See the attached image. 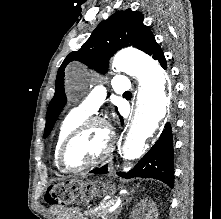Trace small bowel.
I'll list each match as a JSON object with an SVG mask.
<instances>
[{"mask_svg":"<svg viewBox=\"0 0 221 219\" xmlns=\"http://www.w3.org/2000/svg\"><path fill=\"white\" fill-rule=\"evenodd\" d=\"M59 219H88L78 208H58Z\"/></svg>","mask_w":221,"mask_h":219,"instance_id":"small-bowel-1","label":"small bowel"}]
</instances>
